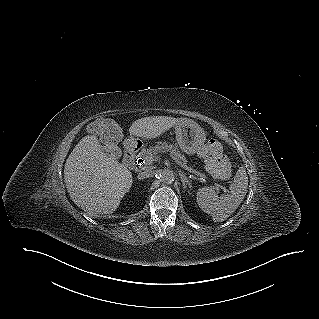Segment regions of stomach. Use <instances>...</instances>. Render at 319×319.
Instances as JSON below:
<instances>
[{"instance_id":"1","label":"stomach","mask_w":319,"mask_h":319,"mask_svg":"<svg viewBox=\"0 0 319 319\" xmlns=\"http://www.w3.org/2000/svg\"><path fill=\"white\" fill-rule=\"evenodd\" d=\"M175 133L181 150L188 155L198 153L206 140L204 130L189 119L180 120L175 126Z\"/></svg>"}]
</instances>
